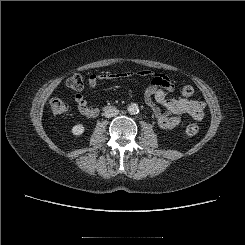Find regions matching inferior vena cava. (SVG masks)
Segmentation results:
<instances>
[{
    "label": "inferior vena cava",
    "mask_w": 245,
    "mask_h": 245,
    "mask_svg": "<svg viewBox=\"0 0 245 245\" xmlns=\"http://www.w3.org/2000/svg\"><path fill=\"white\" fill-rule=\"evenodd\" d=\"M119 114V110L116 108H109L105 111L104 116L106 118H111Z\"/></svg>",
    "instance_id": "obj_1"
}]
</instances>
